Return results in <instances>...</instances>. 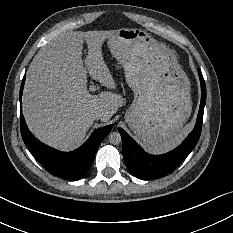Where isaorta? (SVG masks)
<instances>
[{"mask_svg": "<svg viewBox=\"0 0 233 233\" xmlns=\"http://www.w3.org/2000/svg\"><path fill=\"white\" fill-rule=\"evenodd\" d=\"M108 138L109 142L113 145H117L121 142V135L119 132H111Z\"/></svg>", "mask_w": 233, "mask_h": 233, "instance_id": "aorta-1", "label": "aorta"}]
</instances>
